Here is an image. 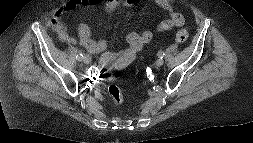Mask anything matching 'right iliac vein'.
I'll return each mask as SVG.
<instances>
[{
  "label": "right iliac vein",
  "instance_id": "1",
  "mask_svg": "<svg viewBox=\"0 0 253 143\" xmlns=\"http://www.w3.org/2000/svg\"><path fill=\"white\" fill-rule=\"evenodd\" d=\"M83 61H84L85 64H90L92 60H91V58L87 55V56L84 57Z\"/></svg>",
  "mask_w": 253,
  "mask_h": 143
}]
</instances>
